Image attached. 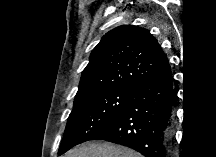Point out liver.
I'll list each match as a JSON object with an SVG mask.
<instances>
[{"label":"liver","instance_id":"liver-1","mask_svg":"<svg viewBox=\"0 0 216 157\" xmlns=\"http://www.w3.org/2000/svg\"><path fill=\"white\" fill-rule=\"evenodd\" d=\"M66 157H141L139 153L107 142L89 143L82 147L73 149L66 154Z\"/></svg>","mask_w":216,"mask_h":157}]
</instances>
